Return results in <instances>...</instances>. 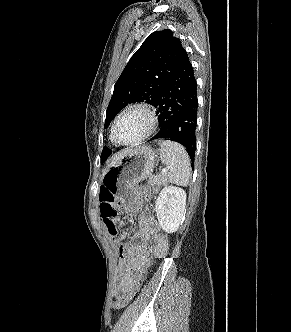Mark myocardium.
Returning a JSON list of instances; mask_svg holds the SVG:
<instances>
[{
    "mask_svg": "<svg viewBox=\"0 0 291 332\" xmlns=\"http://www.w3.org/2000/svg\"><path fill=\"white\" fill-rule=\"evenodd\" d=\"M131 110H141L147 115L148 121H149L148 129L142 136H140L139 138H137L135 140L127 141V142L121 141L117 137V133H116L117 125H118V122L121 119V117L126 112L131 111ZM157 127H158V117H157L155 109L148 103L136 102V103L126 106L117 115V117L114 120L113 126H112V137H113L114 141L120 145H136V144L143 142L147 138H149L156 131Z\"/></svg>",
    "mask_w": 291,
    "mask_h": 332,
    "instance_id": "obj_1",
    "label": "myocardium"
}]
</instances>
